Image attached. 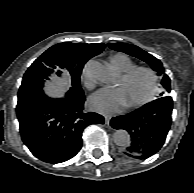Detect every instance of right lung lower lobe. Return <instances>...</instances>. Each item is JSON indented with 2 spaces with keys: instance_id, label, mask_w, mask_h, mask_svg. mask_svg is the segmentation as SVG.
<instances>
[{
  "instance_id": "right-lung-lower-lobe-1",
  "label": "right lung lower lobe",
  "mask_w": 194,
  "mask_h": 193,
  "mask_svg": "<svg viewBox=\"0 0 194 193\" xmlns=\"http://www.w3.org/2000/svg\"><path fill=\"white\" fill-rule=\"evenodd\" d=\"M85 96L50 98L17 105L21 137L32 154L47 163H61L82 147V132L104 118L84 111Z\"/></svg>"
}]
</instances>
